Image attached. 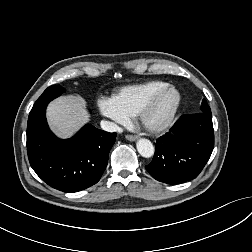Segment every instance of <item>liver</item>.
<instances>
[{"label":"liver","mask_w":252,"mask_h":252,"mask_svg":"<svg viewBox=\"0 0 252 252\" xmlns=\"http://www.w3.org/2000/svg\"><path fill=\"white\" fill-rule=\"evenodd\" d=\"M83 100L76 96H63L47 107V120L51 130L60 138L73 136L89 121Z\"/></svg>","instance_id":"liver-1"}]
</instances>
